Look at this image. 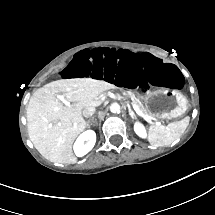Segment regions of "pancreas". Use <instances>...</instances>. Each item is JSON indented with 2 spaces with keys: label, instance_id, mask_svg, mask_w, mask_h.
Wrapping results in <instances>:
<instances>
[{
  "label": "pancreas",
  "instance_id": "pancreas-1",
  "mask_svg": "<svg viewBox=\"0 0 215 215\" xmlns=\"http://www.w3.org/2000/svg\"><path fill=\"white\" fill-rule=\"evenodd\" d=\"M133 98V102L140 108V110L147 116H149L150 114L147 112V110L145 109V107L143 106L142 100L140 99V97L138 95L133 94L132 95Z\"/></svg>",
  "mask_w": 215,
  "mask_h": 215
}]
</instances>
